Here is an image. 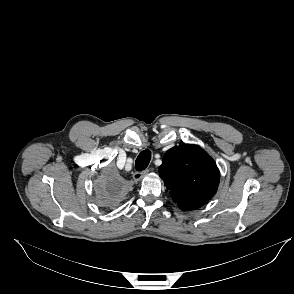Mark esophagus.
<instances>
[{
    "mask_svg": "<svg viewBox=\"0 0 294 294\" xmlns=\"http://www.w3.org/2000/svg\"><path fill=\"white\" fill-rule=\"evenodd\" d=\"M149 171H150V169H146L143 171H137L133 174L132 178L135 182L140 181Z\"/></svg>",
    "mask_w": 294,
    "mask_h": 294,
    "instance_id": "obj_1",
    "label": "esophagus"
}]
</instances>
